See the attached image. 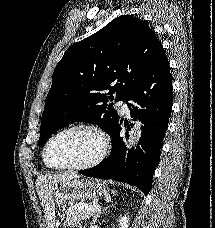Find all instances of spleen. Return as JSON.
<instances>
[{
    "instance_id": "3e777b00",
    "label": "spleen",
    "mask_w": 215,
    "mask_h": 228,
    "mask_svg": "<svg viewBox=\"0 0 215 228\" xmlns=\"http://www.w3.org/2000/svg\"><path fill=\"white\" fill-rule=\"evenodd\" d=\"M112 194H115V196H116V190H112Z\"/></svg>"
}]
</instances>
